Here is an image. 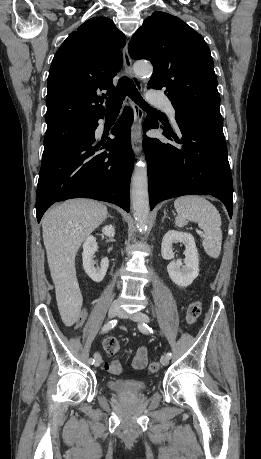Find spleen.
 <instances>
[{
    "label": "spleen",
    "instance_id": "obj_1",
    "mask_svg": "<svg viewBox=\"0 0 261 459\" xmlns=\"http://www.w3.org/2000/svg\"><path fill=\"white\" fill-rule=\"evenodd\" d=\"M177 212L175 225L184 227L196 222L204 231L203 248L211 258H218L222 246L221 217L215 206L202 196H181L174 201Z\"/></svg>",
    "mask_w": 261,
    "mask_h": 459
}]
</instances>
